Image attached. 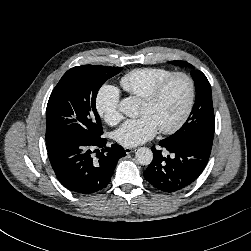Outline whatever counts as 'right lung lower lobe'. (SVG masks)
<instances>
[{
	"mask_svg": "<svg viewBox=\"0 0 251 251\" xmlns=\"http://www.w3.org/2000/svg\"><path fill=\"white\" fill-rule=\"evenodd\" d=\"M47 152L60 183L82 195L94 194L106 188L118 160L126 155L118 144L107 147L105 138L81 134L54 138L47 143ZM93 153H96V157Z\"/></svg>",
	"mask_w": 251,
	"mask_h": 251,
	"instance_id": "1",
	"label": "right lung lower lobe"
}]
</instances>
